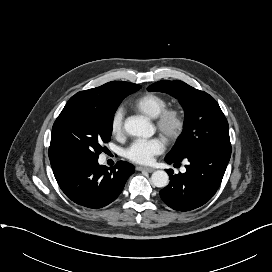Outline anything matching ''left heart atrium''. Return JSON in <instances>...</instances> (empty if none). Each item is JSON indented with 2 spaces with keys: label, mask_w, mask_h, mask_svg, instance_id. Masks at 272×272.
I'll use <instances>...</instances> for the list:
<instances>
[{
  "label": "left heart atrium",
  "mask_w": 272,
  "mask_h": 272,
  "mask_svg": "<svg viewBox=\"0 0 272 272\" xmlns=\"http://www.w3.org/2000/svg\"><path fill=\"white\" fill-rule=\"evenodd\" d=\"M165 143L159 138L138 139L125 150V157L138 164H149L154 157L164 151Z\"/></svg>",
  "instance_id": "left-heart-atrium-1"
}]
</instances>
